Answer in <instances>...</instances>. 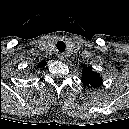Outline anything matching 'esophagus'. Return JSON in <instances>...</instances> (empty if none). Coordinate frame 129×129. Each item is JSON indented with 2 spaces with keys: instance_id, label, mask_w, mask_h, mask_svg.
Instances as JSON below:
<instances>
[{
  "instance_id": "esophagus-1",
  "label": "esophagus",
  "mask_w": 129,
  "mask_h": 129,
  "mask_svg": "<svg viewBox=\"0 0 129 129\" xmlns=\"http://www.w3.org/2000/svg\"><path fill=\"white\" fill-rule=\"evenodd\" d=\"M58 59L61 61H64L66 59V55L64 53H59L58 54Z\"/></svg>"
}]
</instances>
